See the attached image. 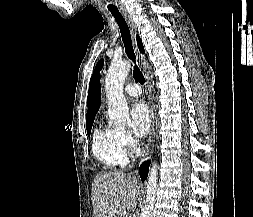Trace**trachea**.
<instances>
[{
	"mask_svg": "<svg viewBox=\"0 0 253 217\" xmlns=\"http://www.w3.org/2000/svg\"><path fill=\"white\" fill-rule=\"evenodd\" d=\"M108 10L111 12L112 16L115 18V20L119 26L121 36H122V41H123V44L125 47V52H126L128 58L135 63L134 69H133V77L140 84L143 85L144 84V77H143L140 69L136 65V57H135V53L133 50L131 35H130V31H129V27L127 25V22L125 21L124 17L122 16V14L119 12V10L117 8H108Z\"/></svg>",
	"mask_w": 253,
	"mask_h": 217,
	"instance_id": "3493384b",
	"label": "trachea"
}]
</instances>
